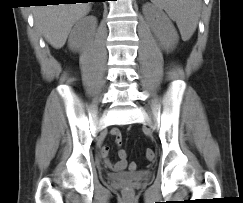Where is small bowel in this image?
Returning <instances> with one entry per match:
<instances>
[{"instance_id":"small-bowel-1","label":"small bowel","mask_w":243,"mask_h":203,"mask_svg":"<svg viewBox=\"0 0 243 203\" xmlns=\"http://www.w3.org/2000/svg\"><path fill=\"white\" fill-rule=\"evenodd\" d=\"M111 135L115 138L116 143L120 145L122 142L120 131L118 129H112ZM120 151L118 152L119 160L117 162H112L109 158L110 147L108 145H103L101 147V149H100L101 157L103 158L105 165L109 169L114 170V171H122L126 168V166H127V162L125 159L126 156H121ZM129 168L132 170L136 169V163H131L129 165Z\"/></svg>"}]
</instances>
